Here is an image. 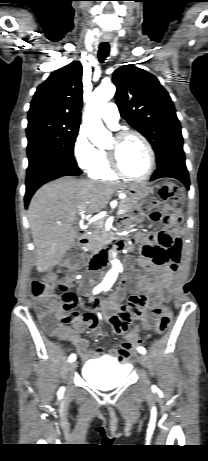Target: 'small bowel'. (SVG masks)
<instances>
[{
  "mask_svg": "<svg viewBox=\"0 0 208 461\" xmlns=\"http://www.w3.org/2000/svg\"><path fill=\"white\" fill-rule=\"evenodd\" d=\"M130 210L131 214L120 216L125 225H128L133 217H141L143 214L141 204H131ZM143 241L145 245L157 244L160 250L166 251H140L138 263L147 273H125L116 291L107 300L92 298L94 293L88 291V287L81 295H77L76 291H61L59 297L63 309H77L78 303H81L86 310L83 314L69 311L57 315L59 324H70L60 329V337L73 344L82 358L94 359L104 353L102 347L90 349L88 341L83 337L86 333L93 336L103 335V330L98 325L97 309L101 310L117 334L123 335L126 340H141L138 327L132 329V323L141 321L146 328H151L157 320L160 304L169 298L170 287L179 269V263L184 261L183 253L186 248L182 230L158 229L153 237H144ZM132 249L131 246L130 250ZM66 261L64 277L69 283L68 290L82 266L78 263V256H67ZM128 292H131V295L123 304L122 301ZM110 354L120 361H130L134 358L133 351L132 354H127L113 347L110 348Z\"/></svg>",
  "mask_w": 208,
  "mask_h": 461,
  "instance_id": "obj_1",
  "label": "small bowel"
}]
</instances>
